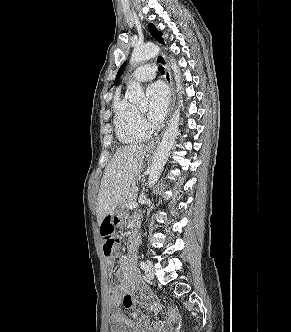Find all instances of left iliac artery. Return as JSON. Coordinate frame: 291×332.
<instances>
[{
    "label": "left iliac artery",
    "mask_w": 291,
    "mask_h": 332,
    "mask_svg": "<svg viewBox=\"0 0 291 332\" xmlns=\"http://www.w3.org/2000/svg\"><path fill=\"white\" fill-rule=\"evenodd\" d=\"M140 267H141V269L146 270L147 265H146V263L144 261H141L140 262Z\"/></svg>",
    "instance_id": "obj_1"
}]
</instances>
